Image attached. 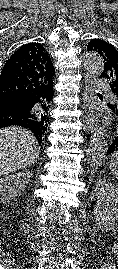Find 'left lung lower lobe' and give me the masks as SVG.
Instances as JSON below:
<instances>
[{
  "instance_id": "obj_1",
  "label": "left lung lower lobe",
  "mask_w": 118,
  "mask_h": 269,
  "mask_svg": "<svg viewBox=\"0 0 118 269\" xmlns=\"http://www.w3.org/2000/svg\"><path fill=\"white\" fill-rule=\"evenodd\" d=\"M111 108V107H110ZM114 111V114L118 116V108H111ZM114 151H118V136L115 137L112 143L108 144L107 154H110Z\"/></svg>"
}]
</instances>
